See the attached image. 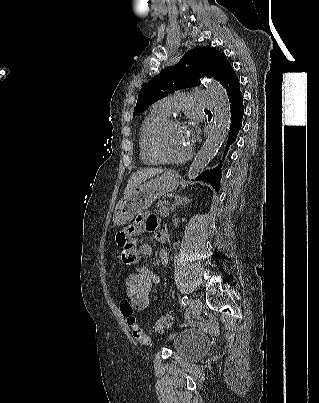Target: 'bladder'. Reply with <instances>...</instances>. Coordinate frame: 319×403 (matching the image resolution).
I'll return each instance as SVG.
<instances>
[{
	"mask_svg": "<svg viewBox=\"0 0 319 403\" xmlns=\"http://www.w3.org/2000/svg\"><path fill=\"white\" fill-rule=\"evenodd\" d=\"M172 353L180 358L195 360L202 356L206 349V338L198 331H181L172 337Z\"/></svg>",
	"mask_w": 319,
	"mask_h": 403,
	"instance_id": "31cf9c89",
	"label": "bladder"
}]
</instances>
